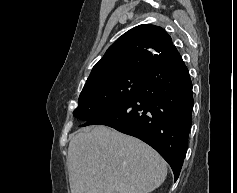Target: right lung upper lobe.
I'll list each match as a JSON object with an SVG mask.
<instances>
[{"label": "right lung upper lobe", "instance_id": "cb5924a9", "mask_svg": "<svg viewBox=\"0 0 237 193\" xmlns=\"http://www.w3.org/2000/svg\"><path fill=\"white\" fill-rule=\"evenodd\" d=\"M177 51L171 37L155 25L136 26L117 39L93 67L85 85L129 74H146L156 62Z\"/></svg>", "mask_w": 237, "mask_h": 193}]
</instances>
